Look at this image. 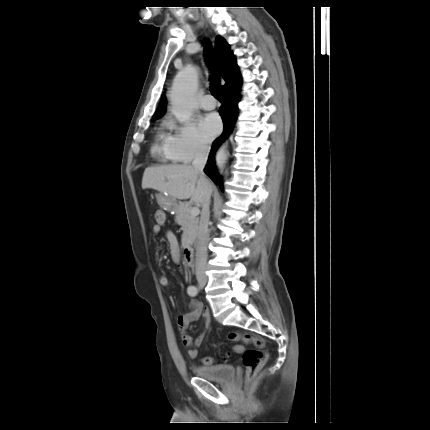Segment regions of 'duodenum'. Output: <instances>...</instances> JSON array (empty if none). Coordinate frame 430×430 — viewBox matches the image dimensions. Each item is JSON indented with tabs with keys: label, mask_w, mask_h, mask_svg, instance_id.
<instances>
[{
	"label": "duodenum",
	"mask_w": 430,
	"mask_h": 430,
	"mask_svg": "<svg viewBox=\"0 0 430 430\" xmlns=\"http://www.w3.org/2000/svg\"><path fill=\"white\" fill-rule=\"evenodd\" d=\"M183 258L188 266L194 265V251L192 246L186 245L183 249Z\"/></svg>",
	"instance_id": "obj_1"
}]
</instances>
